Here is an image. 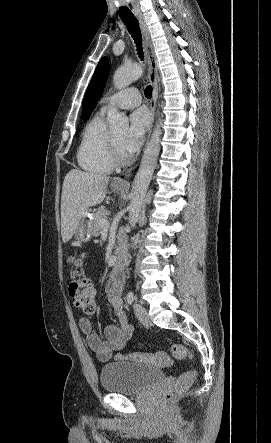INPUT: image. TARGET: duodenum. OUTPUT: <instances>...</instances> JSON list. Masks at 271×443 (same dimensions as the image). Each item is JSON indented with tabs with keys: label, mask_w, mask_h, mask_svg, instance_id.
I'll use <instances>...</instances> for the list:
<instances>
[{
	"label": "duodenum",
	"mask_w": 271,
	"mask_h": 443,
	"mask_svg": "<svg viewBox=\"0 0 271 443\" xmlns=\"http://www.w3.org/2000/svg\"><path fill=\"white\" fill-rule=\"evenodd\" d=\"M126 264V256L124 254H120L113 266V273L115 276H120L121 272Z\"/></svg>",
	"instance_id": "410a0bca"
}]
</instances>
